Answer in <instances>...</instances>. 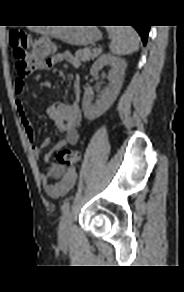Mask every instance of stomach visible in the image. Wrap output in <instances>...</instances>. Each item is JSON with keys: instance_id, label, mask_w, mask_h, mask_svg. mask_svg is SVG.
<instances>
[{"instance_id": "stomach-1", "label": "stomach", "mask_w": 184, "mask_h": 292, "mask_svg": "<svg viewBox=\"0 0 184 292\" xmlns=\"http://www.w3.org/2000/svg\"><path fill=\"white\" fill-rule=\"evenodd\" d=\"M51 36L71 45H87L98 41L101 33L92 27L65 26L55 29Z\"/></svg>"}]
</instances>
